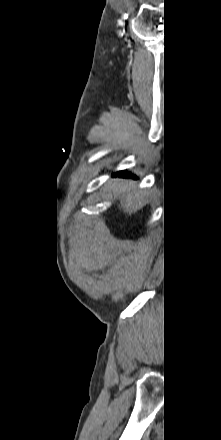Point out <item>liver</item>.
<instances>
[{
    "label": "liver",
    "instance_id": "liver-1",
    "mask_svg": "<svg viewBox=\"0 0 221 440\" xmlns=\"http://www.w3.org/2000/svg\"><path fill=\"white\" fill-rule=\"evenodd\" d=\"M134 187L135 183L133 182H121L120 180L113 182L114 191L121 194L119 208L129 214L142 207L145 202L146 192L136 191Z\"/></svg>",
    "mask_w": 221,
    "mask_h": 440
}]
</instances>
